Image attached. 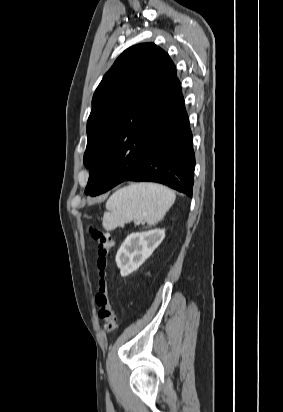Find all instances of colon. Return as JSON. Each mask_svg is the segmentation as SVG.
I'll use <instances>...</instances> for the list:
<instances>
[{"mask_svg":"<svg viewBox=\"0 0 283 412\" xmlns=\"http://www.w3.org/2000/svg\"><path fill=\"white\" fill-rule=\"evenodd\" d=\"M89 234L97 246L99 283L95 301L100 307L99 315L104 320V327L106 331L112 333L117 329V318L110 297L108 257L114 245V240L107 231L93 225L89 226Z\"/></svg>","mask_w":283,"mask_h":412,"instance_id":"5ec220e1","label":"colon"}]
</instances>
